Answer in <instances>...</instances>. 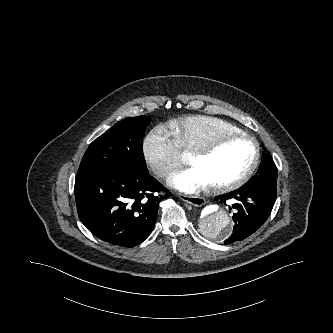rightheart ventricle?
Here are the masks:
<instances>
[{"instance_id": "e07e8e85", "label": "right heart ventricle", "mask_w": 333, "mask_h": 333, "mask_svg": "<svg viewBox=\"0 0 333 333\" xmlns=\"http://www.w3.org/2000/svg\"><path fill=\"white\" fill-rule=\"evenodd\" d=\"M168 128L177 147L187 154L219 134L243 132L227 121L205 115H192L172 120Z\"/></svg>"}]
</instances>
